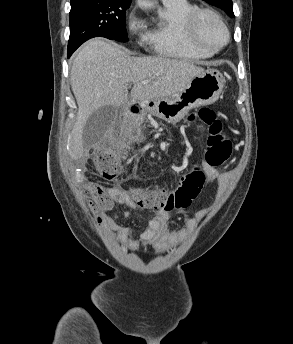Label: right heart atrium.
Here are the masks:
<instances>
[{"label": "right heart atrium", "mask_w": 293, "mask_h": 344, "mask_svg": "<svg viewBox=\"0 0 293 344\" xmlns=\"http://www.w3.org/2000/svg\"><path fill=\"white\" fill-rule=\"evenodd\" d=\"M126 28L131 34H137L144 28V23L142 19L137 16L134 11H131L126 17Z\"/></svg>", "instance_id": "d8ad5b80"}]
</instances>
